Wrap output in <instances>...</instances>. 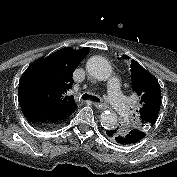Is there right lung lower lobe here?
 I'll return each mask as SVG.
<instances>
[{
  "instance_id": "1",
  "label": "right lung lower lobe",
  "mask_w": 177,
  "mask_h": 177,
  "mask_svg": "<svg viewBox=\"0 0 177 177\" xmlns=\"http://www.w3.org/2000/svg\"><path fill=\"white\" fill-rule=\"evenodd\" d=\"M30 124L38 129L49 130L61 126L66 120L30 110L23 111Z\"/></svg>"
}]
</instances>
